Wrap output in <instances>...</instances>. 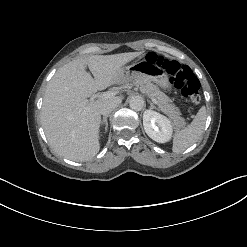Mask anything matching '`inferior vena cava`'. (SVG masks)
<instances>
[{"mask_svg":"<svg viewBox=\"0 0 247 247\" xmlns=\"http://www.w3.org/2000/svg\"><path fill=\"white\" fill-rule=\"evenodd\" d=\"M120 100H110V101H104L100 106V113L104 116L111 113L119 104Z\"/></svg>","mask_w":247,"mask_h":247,"instance_id":"602c4592","label":"inferior vena cava"}]
</instances>
